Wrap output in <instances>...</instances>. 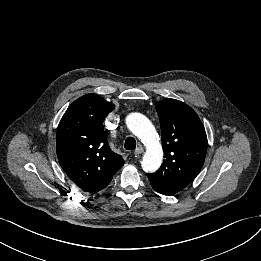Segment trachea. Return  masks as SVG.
Segmentation results:
<instances>
[{"label": "trachea", "mask_w": 261, "mask_h": 261, "mask_svg": "<svg viewBox=\"0 0 261 261\" xmlns=\"http://www.w3.org/2000/svg\"><path fill=\"white\" fill-rule=\"evenodd\" d=\"M124 148L126 150H134L136 148V140L133 137H128L125 140Z\"/></svg>", "instance_id": "trachea-1"}]
</instances>
